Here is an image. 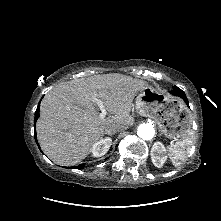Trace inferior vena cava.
I'll return each mask as SVG.
<instances>
[{"instance_id":"obj_1","label":"inferior vena cava","mask_w":221,"mask_h":221,"mask_svg":"<svg viewBox=\"0 0 221 221\" xmlns=\"http://www.w3.org/2000/svg\"><path fill=\"white\" fill-rule=\"evenodd\" d=\"M127 127L124 125H119V124H111L106 126L105 128V132L106 133H115V132H119L121 130L126 129Z\"/></svg>"}]
</instances>
